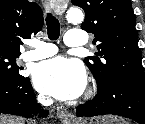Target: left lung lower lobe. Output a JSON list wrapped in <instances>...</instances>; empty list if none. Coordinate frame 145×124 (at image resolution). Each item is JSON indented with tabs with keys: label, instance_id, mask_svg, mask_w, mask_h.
Wrapping results in <instances>:
<instances>
[{
	"label": "left lung lower lobe",
	"instance_id": "obj_1",
	"mask_svg": "<svg viewBox=\"0 0 145 124\" xmlns=\"http://www.w3.org/2000/svg\"><path fill=\"white\" fill-rule=\"evenodd\" d=\"M78 117L114 114L145 124V86L117 80L86 104L76 107Z\"/></svg>",
	"mask_w": 145,
	"mask_h": 124
}]
</instances>
